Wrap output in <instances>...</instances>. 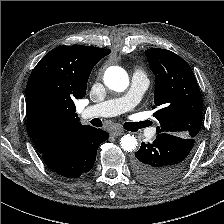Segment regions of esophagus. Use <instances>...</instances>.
<instances>
[{"label": "esophagus", "instance_id": "34e87169", "mask_svg": "<svg viewBox=\"0 0 224 224\" xmlns=\"http://www.w3.org/2000/svg\"><path fill=\"white\" fill-rule=\"evenodd\" d=\"M110 134L114 137H117V136L123 135L124 131L116 129V130H112Z\"/></svg>", "mask_w": 224, "mask_h": 224}]
</instances>
